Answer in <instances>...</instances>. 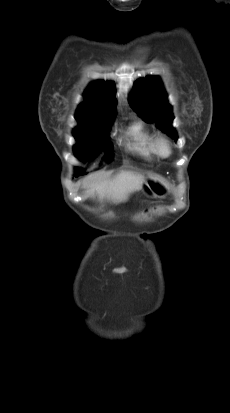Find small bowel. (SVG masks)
Masks as SVG:
<instances>
[{
    "instance_id": "obj_1",
    "label": "small bowel",
    "mask_w": 230,
    "mask_h": 413,
    "mask_svg": "<svg viewBox=\"0 0 230 413\" xmlns=\"http://www.w3.org/2000/svg\"><path fill=\"white\" fill-rule=\"evenodd\" d=\"M146 212L147 213H153L154 212V207L153 206H147L146 207Z\"/></svg>"
}]
</instances>
